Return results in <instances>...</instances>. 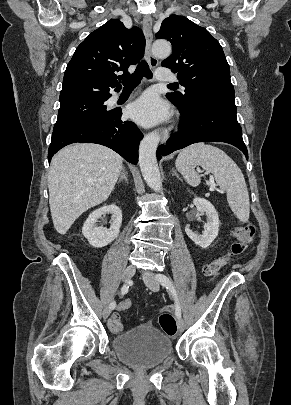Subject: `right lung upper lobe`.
Returning <instances> with one entry per match:
<instances>
[{"mask_svg": "<svg viewBox=\"0 0 291 405\" xmlns=\"http://www.w3.org/2000/svg\"><path fill=\"white\" fill-rule=\"evenodd\" d=\"M142 31L127 29L118 19H111L77 47L67 65L60 102L76 99L109 98V91H119L118 80L128 77V67L144 53ZM123 74L116 76V72Z\"/></svg>", "mask_w": 291, "mask_h": 405, "instance_id": "1", "label": "right lung upper lobe"}]
</instances>
